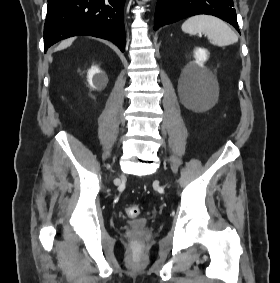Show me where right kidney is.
<instances>
[{
  "label": "right kidney",
  "mask_w": 280,
  "mask_h": 283,
  "mask_svg": "<svg viewBox=\"0 0 280 283\" xmlns=\"http://www.w3.org/2000/svg\"><path fill=\"white\" fill-rule=\"evenodd\" d=\"M87 80L90 87L96 89V86H105L107 84V77L96 66H92L88 71Z\"/></svg>",
  "instance_id": "1"
}]
</instances>
